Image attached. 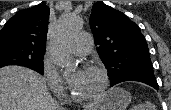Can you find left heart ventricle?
<instances>
[{"label": "left heart ventricle", "instance_id": "b2bd125f", "mask_svg": "<svg viewBox=\"0 0 171 110\" xmlns=\"http://www.w3.org/2000/svg\"><path fill=\"white\" fill-rule=\"evenodd\" d=\"M102 79L98 72L86 69L79 82L72 88L78 96H90L101 87Z\"/></svg>", "mask_w": 171, "mask_h": 110}]
</instances>
